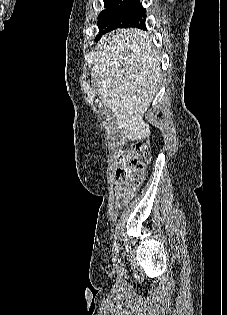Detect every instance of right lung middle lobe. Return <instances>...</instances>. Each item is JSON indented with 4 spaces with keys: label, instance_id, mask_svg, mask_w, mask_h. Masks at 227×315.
I'll return each instance as SVG.
<instances>
[{
    "label": "right lung middle lobe",
    "instance_id": "1",
    "mask_svg": "<svg viewBox=\"0 0 227 315\" xmlns=\"http://www.w3.org/2000/svg\"><path fill=\"white\" fill-rule=\"evenodd\" d=\"M104 4L105 9L98 16L101 34L116 28L146 29V10L140 0H104Z\"/></svg>",
    "mask_w": 227,
    "mask_h": 315
}]
</instances>
